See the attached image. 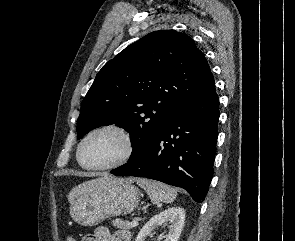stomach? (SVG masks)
<instances>
[{"label": "stomach", "mask_w": 295, "mask_h": 241, "mask_svg": "<svg viewBox=\"0 0 295 241\" xmlns=\"http://www.w3.org/2000/svg\"><path fill=\"white\" fill-rule=\"evenodd\" d=\"M140 190L126 179L103 183L79 194L71 202V218L82 226H95L106 218L131 213Z\"/></svg>", "instance_id": "obj_1"}]
</instances>
